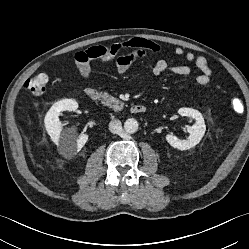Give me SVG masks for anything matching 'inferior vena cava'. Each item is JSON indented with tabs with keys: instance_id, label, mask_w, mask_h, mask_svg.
Instances as JSON below:
<instances>
[{
	"instance_id": "602c4592",
	"label": "inferior vena cava",
	"mask_w": 249,
	"mask_h": 249,
	"mask_svg": "<svg viewBox=\"0 0 249 249\" xmlns=\"http://www.w3.org/2000/svg\"><path fill=\"white\" fill-rule=\"evenodd\" d=\"M109 130L114 134L120 133L122 130L121 121L118 119L111 120L109 123Z\"/></svg>"
}]
</instances>
